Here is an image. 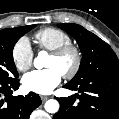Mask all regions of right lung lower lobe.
Here are the masks:
<instances>
[{
    "label": "right lung lower lobe",
    "mask_w": 119,
    "mask_h": 119,
    "mask_svg": "<svg viewBox=\"0 0 119 119\" xmlns=\"http://www.w3.org/2000/svg\"><path fill=\"white\" fill-rule=\"evenodd\" d=\"M19 88V80L0 81V119H29L31 112L41 104L39 95L30 92L27 96H11Z\"/></svg>",
    "instance_id": "1"
}]
</instances>
